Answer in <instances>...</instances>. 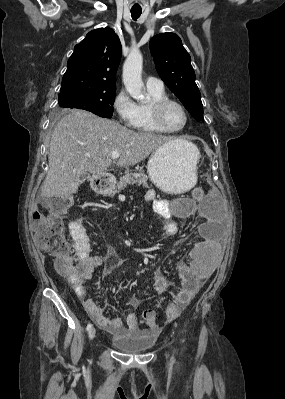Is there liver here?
Returning <instances> with one entry per match:
<instances>
[{
    "mask_svg": "<svg viewBox=\"0 0 285 399\" xmlns=\"http://www.w3.org/2000/svg\"><path fill=\"white\" fill-rule=\"evenodd\" d=\"M168 142V137L136 132L90 112L72 110L52 133L41 196L68 199L78 192L83 174L99 177L112 164L128 168ZM113 151L120 153L118 161L112 159Z\"/></svg>",
    "mask_w": 285,
    "mask_h": 399,
    "instance_id": "6515ba94",
    "label": "liver"
}]
</instances>
